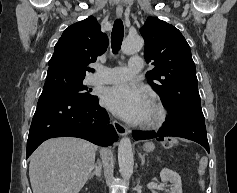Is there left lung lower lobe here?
<instances>
[{"instance_id": "left-lung-lower-lobe-1", "label": "left lung lower lobe", "mask_w": 237, "mask_h": 193, "mask_svg": "<svg viewBox=\"0 0 237 193\" xmlns=\"http://www.w3.org/2000/svg\"><path fill=\"white\" fill-rule=\"evenodd\" d=\"M135 140L158 138L162 141L165 136L181 137L195 141L209 152L205 120L202 111H189L177 117L169 116L165 125L157 132L133 131Z\"/></svg>"}]
</instances>
